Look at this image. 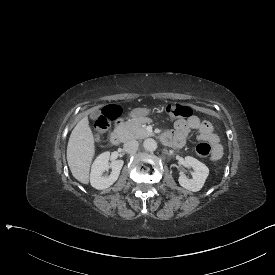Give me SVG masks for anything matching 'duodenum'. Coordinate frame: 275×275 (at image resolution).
Here are the masks:
<instances>
[{
  "mask_svg": "<svg viewBox=\"0 0 275 275\" xmlns=\"http://www.w3.org/2000/svg\"><path fill=\"white\" fill-rule=\"evenodd\" d=\"M123 124V120L120 119L116 122L115 128L113 130V132L110 134L109 140L110 143L114 146L119 145V143L121 142L122 139V133H121V126ZM162 141L164 143L170 144L172 145L174 142L167 136L163 135L161 137Z\"/></svg>",
  "mask_w": 275,
  "mask_h": 275,
  "instance_id": "obj_1",
  "label": "duodenum"
}]
</instances>
